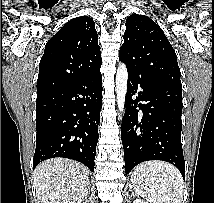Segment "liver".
Instances as JSON below:
<instances>
[{
  "instance_id": "obj_1",
  "label": "liver",
  "mask_w": 214,
  "mask_h": 203,
  "mask_svg": "<svg viewBox=\"0 0 214 203\" xmlns=\"http://www.w3.org/2000/svg\"><path fill=\"white\" fill-rule=\"evenodd\" d=\"M34 182L37 203H81L87 196L89 173L76 161L53 158L35 168Z\"/></svg>"
}]
</instances>
